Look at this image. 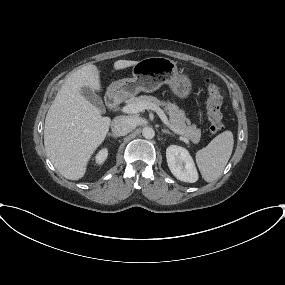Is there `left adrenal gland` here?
<instances>
[{"instance_id":"left-adrenal-gland-1","label":"left adrenal gland","mask_w":285,"mask_h":285,"mask_svg":"<svg viewBox=\"0 0 285 285\" xmlns=\"http://www.w3.org/2000/svg\"><path fill=\"white\" fill-rule=\"evenodd\" d=\"M162 132H163V133H166V134H169V135H171V136H174V134L171 133L169 130L162 129Z\"/></svg>"}]
</instances>
